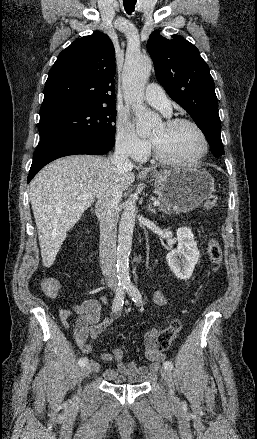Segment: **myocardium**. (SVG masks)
Wrapping results in <instances>:
<instances>
[{
    "label": "myocardium",
    "mask_w": 257,
    "mask_h": 439,
    "mask_svg": "<svg viewBox=\"0 0 257 439\" xmlns=\"http://www.w3.org/2000/svg\"><path fill=\"white\" fill-rule=\"evenodd\" d=\"M163 125L167 128H174L180 125H189L193 127L202 141V149L198 155L190 160H177L166 155L164 151L159 147L158 143L153 138H151L150 141L157 159L166 163L174 164L176 166L192 167L198 164L206 156L209 150V142L205 132L196 122L186 118H174L166 120L165 122H163Z\"/></svg>",
    "instance_id": "f54148a6"
}]
</instances>
